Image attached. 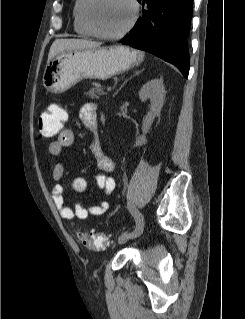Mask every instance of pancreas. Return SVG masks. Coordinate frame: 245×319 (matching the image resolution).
Listing matches in <instances>:
<instances>
[{
	"label": "pancreas",
	"mask_w": 245,
	"mask_h": 319,
	"mask_svg": "<svg viewBox=\"0 0 245 319\" xmlns=\"http://www.w3.org/2000/svg\"><path fill=\"white\" fill-rule=\"evenodd\" d=\"M86 95L91 99H98L100 96L106 95L103 87L99 83H92V87L86 92Z\"/></svg>",
	"instance_id": "1"
}]
</instances>
